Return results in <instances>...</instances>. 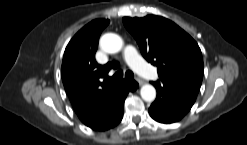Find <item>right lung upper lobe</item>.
I'll return each mask as SVG.
<instances>
[{"mask_svg": "<svg viewBox=\"0 0 247 145\" xmlns=\"http://www.w3.org/2000/svg\"><path fill=\"white\" fill-rule=\"evenodd\" d=\"M108 24L109 20H93L71 39L64 52L63 84L82 122L105 108L121 84L106 81L115 63L99 65L95 61L99 36Z\"/></svg>", "mask_w": 247, "mask_h": 145, "instance_id": "right-lung-upper-lobe-1", "label": "right lung upper lobe"}]
</instances>
